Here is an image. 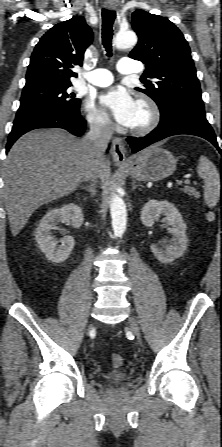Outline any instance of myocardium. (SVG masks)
I'll use <instances>...</instances> for the list:
<instances>
[{"instance_id": "obj_1", "label": "myocardium", "mask_w": 222, "mask_h": 447, "mask_svg": "<svg viewBox=\"0 0 222 447\" xmlns=\"http://www.w3.org/2000/svg\"><path fill=\"white\" fill-rule=\"evenodd\" d=\"M137 105L144 110L145 119L142 123L131 126L130 132L135 135H144L158 125L160 121V110L156 103L148 97L139 98Z\"/></svg>"}]
</instances>
